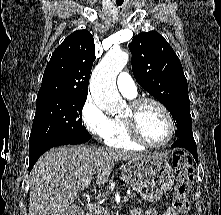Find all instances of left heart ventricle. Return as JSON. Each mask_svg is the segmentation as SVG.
I'll return each mask as SVG.
<instances>
[{
    "mask_svg": "<svg viewBox=\"0 0 221 215\" xmlns=\"http://www.w3.org/2000/svg\"><path fill=\"white\" fill-rule=\"evenodd\" d=\"M127 108L125 114H127ZM138 126L143 137L152 144L165 140L169 124L162 110L152 103H146L138 111Z\"/></svg>",
    "mask_w": 221,
    "mask_h": 215,
    "instance_id": "1",
    "label": "left heart ventricle"
}]
</instances>
